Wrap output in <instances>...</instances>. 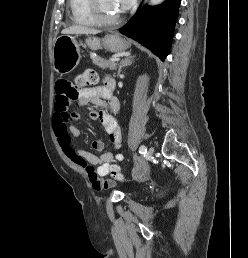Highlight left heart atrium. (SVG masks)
I'll return each mask as SVG.
<instances>
[{"mask_svg": "<svg viewBox=\"0 0 248 258\" xmlns=\"http://www.w3.org/2000/svg\"><path fill=\"white\" fill-rule=\"evenodd\" d=\"M119 12L128 10L134 3V0H114Z\"/></svg>", "mask_w": 248, "mask_h": 258, "instance_id": "left-heart-atrium-1", "label": "left heart atrium"}]
</instances>
